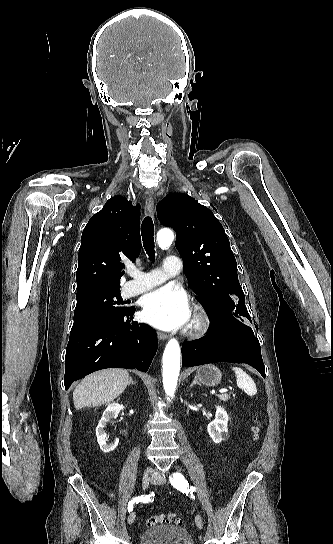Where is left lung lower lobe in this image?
Masks as SVG:
<instances>
[{
    "instance_id": "left-lung-lower-lobe-1",
    "label": "left lung lower lobe",
    "mask_w": 333,
    "mask_h": 544,
    "mask_svg": "<svg viewBox=\"0 0 333 544\" xmlns=\"http://www.w3.org/2000/svg\"><path fill=\"white\" fill-rule=\"evenodd\" d=\"M211 362L246 363L265 377L260 346L252 330L240 323H213L204 337L182 345V366Z\"/></svg>"
}]
</instances>
